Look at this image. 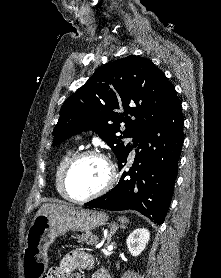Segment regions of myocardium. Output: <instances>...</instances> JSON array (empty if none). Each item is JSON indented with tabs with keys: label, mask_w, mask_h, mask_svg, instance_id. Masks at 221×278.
Here are the masks:
<instances>
[{
	"label": "myocardium",
	"mask_w": 221,
	"mask_h": 278,
	"mask_svg": "<svg viewBox=\"0 0 221 278\" xmlns=\"http://www.w3.org/2000/svg\"><path fill=\"white\" fill-rule=\"evenodd\" d=\"M88 156H93V157H97L99 159H101L107 168V179L105 181V183L102 185L101 188H99L97 191L83 197V198H75L73 196H71L69 189H68V175L69 172L72 168V166L81 158L84 157H88ZM117 178V171H116V167L113 163V161L104 153L95 150V149H86V150H82L79 151L75 154H73L70 159L67 161L63 172H62V177H61V186H62V190L64 193V196L66 197V199H68L71 202L74 203H85L88 202L92 199H95L97 197H100L101 195L105 194L106 192H108L114 185L115 181Z\"/></svg>",
	"instance_id": "obj_1"
}]
</instances>
